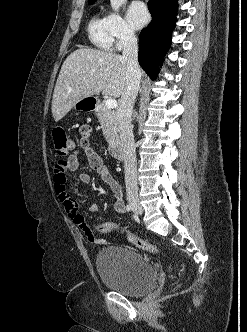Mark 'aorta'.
Wrapping results in <instances>:
<instances>
[{"label":"aorta","mask_w":247,"mask_h":332,"mask_svg":"<svg viewBox=\"0 0 247 332\" xmlns=\"http://www.w3.org/2000/svg\"><path fill=\"white\" fill-rule=\"evenodd\" d=\"M126 1L127 0H110V4L113 10L118 11Z\"/></svg>","instance_id":"1"}]
</instances>
